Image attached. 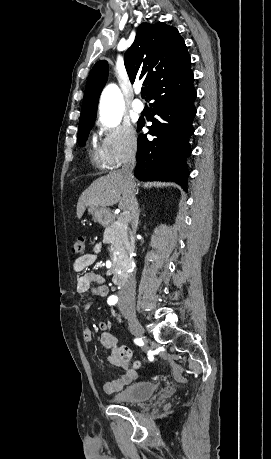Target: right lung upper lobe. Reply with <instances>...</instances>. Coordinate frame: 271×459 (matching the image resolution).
Segmentation results:
<instances>
[{"mask_svg":"<svg viewBox=\"0 0 271 459\" xmlns=\"http://www.w3.org/2000/svg\"><path fill=\"white\" fill-rule=\"evenodd\" d=\"M124 63L130 81L143 79L149 95L172 76L191 71V59L178 30L163 22L142 23ZM108 76L107 61L97 62L87 79L80 121L96 119L100 93Z\"/></svg>","mask_w":271,"mask_h":459,"instance_id":"right-lung-upper-lobe-1","label":"right lung upper lobe"}]
</instances>
